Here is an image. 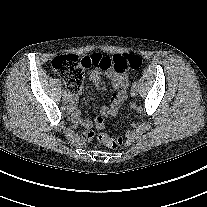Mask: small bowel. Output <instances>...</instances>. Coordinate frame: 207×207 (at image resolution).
I'll return each mask as SVG.
<instances>
[{
    "mask_svg": "<svg viewBox=\"0 0 207 207\" xmlns=\"http://www.w3.org/2000/svg\"><path fill=\"white\" fill-rule=\"evenodd\" d=\"M107 77L111 80L116 93L112 96L111 102L108 106L104 105L100 108L99 114L101 117L115 116L118 110L127 97L128 77L125 73H119L113 69L106 71ZM89 79L95 84L98 90L104 91V82L102 79V73L99 69H95L89 74ZM69 96V108L74 121L81 124L84 128L90 129L93 126V122L90 119H84L80 116L77 104L79 91L70 92Z\"/></svg>",
    "mask_w": 207,
    "mask_h": 207,
    "instance_id": "obj_1",
    "label": "small bowel"
}]
</instances>
